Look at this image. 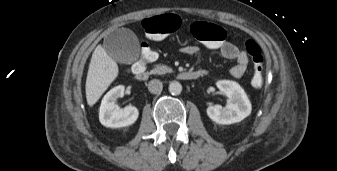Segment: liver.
Masks as SVG:
<instances>
[{
  "mask_svg": "<svg viewBox=\"0 0 337 171\" xmlns=\"http://www.w3.org/2000/svg\"><path fill=\"white\" fill-rule=\"evenodd\" d=\"M118 65L102 45H98L89 64L86 79V99L89 106H93L117 78Z\"/></svg>",
  "mask_w": 337,
  "mask_h": 171,
  "instance_id": "liver-1",
  "label": "liver"
}]
</instances>
